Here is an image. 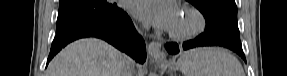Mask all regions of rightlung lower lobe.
Returning <instances> with one entry per match:
<instances>
[{
	"label": "right lung lower lobe",
	"instance_id": "right-lung-lower-lobe-1",
	"mask_svg": "<svg viewBox=\"0 0 287 76\" xmlns=\"http://www.w3.org/2000/svg\"><path fill=\"white\" fill-rule=\"evenodd\" d=\"M83 37L101 38L133 57L137 62L143 63L146 60L145 42L136 32L129 16L123 12L111 20L83 24L57 34L52 43L47 64L64 46Z\"/></svg>",
	"mask_w": 287,
	"mask_h": 76
}]
</instances>
